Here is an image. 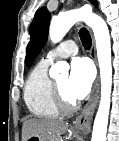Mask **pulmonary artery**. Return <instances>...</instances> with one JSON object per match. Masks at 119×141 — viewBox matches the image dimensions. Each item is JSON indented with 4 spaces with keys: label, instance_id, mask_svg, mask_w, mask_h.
<instances>
[{
    "label": "pulmonary artery",
    "instance_id": "obj_1",
    "mask_svg": "<svg viewBox=\"0 0 119 141\" xmlns=\"http://www.w3.org/2000/svg\"><path fill=\"white\" fill-rule=\"evenodd\" d=\"M78 52L77 43L74 40H65L57 47L48 52L43 60L51 63L56 59L66 58Z\"/></svg>",
    "mask_w": 119,
    "mask_h": 141
}]
</instances>
